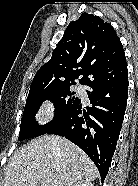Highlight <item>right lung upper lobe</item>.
Here are the masks:
<instances>
[{"label": "right lung upper lobe", "instance_id": "cb5924a9", "mask_svg": "<svg viewBox=\"0 0 138 186\" xmlns=\"http://www.w3.org/2000/svg\"><path fill=\"white\" fill-rule=\"evenodd\" d=\"M116 83L128 77L123 46L113 27L83 13L70 22L50 61L36 73L29 93L75 84Z\"/></svg>", "mask_w": 138, "mask_h": 186}]
</instances>
